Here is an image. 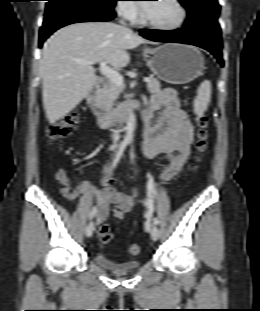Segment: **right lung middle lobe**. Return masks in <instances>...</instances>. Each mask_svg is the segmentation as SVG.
<instances>
[{
    "mask_svg": "<svg viewBox=\"0 0 260 311\" xmlns=\"http://www.w3.org/2000/svg\"><path fill=\"white\" fill-rule=\"evenodd\" d=\"M91 2H94L98 6L107 9V10H113L115 2L117 0H89Z\"/></svg>",
    "mask_w": 260,
    "mask_h": 311,
    "instance_id": "dd1d6c3e",
    "label": "right lung middle lobe"
}]
</instances>
